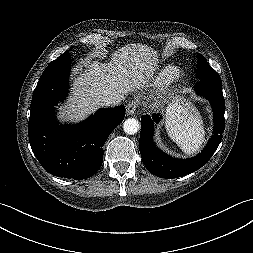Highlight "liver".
Masks as SVG:
<instances>
[{"label": "liver", "mask_w": 253, "mask_h": 253, "mask_svg": "<svg viewBox=\"0 0 253 253\" xmlns=\"http://www.w3.org/2000/svg\"><path fill=\"white\" fill-rule=\"evenodd\" d=\"M107 64L86 59L79 66V76L72 86L70 102L59 113V118L81 120L99 107L98 97L114 96L121 101L124 96L143 86L157 66V52L143 44H128L111 55ZM179 105H172L168 112Z\"/></svg>", "instance_id": "6515ba94"}]
</instances>
